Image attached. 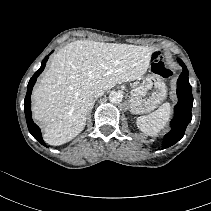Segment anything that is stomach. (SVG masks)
<instances>
[{
	"mask_svg": "<svg viewBox=\"0 0 211 211\" xmlns=\"http://www.w3.org/2000/svg\"><path fill=\"white\" fill-rule=\"evenodd\" d=\"M167 96V87L157 68L149 67V73L131 91L130 108L135 114L149 113L161 104Z\"/></svg>",
	"mask_w": 211,
	"mask_h": 211,
	"instance_id": "0dacf381",
	"label": "stomach"
}]
</instances>
